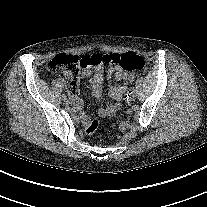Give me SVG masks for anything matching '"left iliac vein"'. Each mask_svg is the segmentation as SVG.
Returning <instances> with one entry per match:
<instances>
[{
    "mask_svg": "<svg viewBox=\"0 0 207 207\" xmlns=\"http://www.w3.org/2000/svg\"><path fill=\"white\" fill-rule=\"evenodd\" d=\"M135 98H136V95L134 94V95H129L128 96V101L130 102V103H133L134 101H135Z\"/></svg>",
    "mask_w": 207,
    "mask_h": 207,
    "instance_id": "left-iliac-vein-1",
    "label": "left iliac vein"
}]
</instances>
